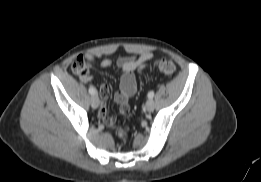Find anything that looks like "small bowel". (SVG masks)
Listing matches in <instances>:
<instances>
[{
	"label": "small bowel",
	"instance_id": "small-bowel-1",
	"mask_svg": "<svg viewBox=\"0 0 261 182\" xmlns=\"http://www.w3.org/2000/svg\"><path fill=\"white\" fill-rule=\"evenodd\" d=\"M153 58L154 53L146 51L138 56H122L116 59L115 64L122 72L119 90L114 95V100L119 105L120 114L124 115L129 112L128 101L136 92L137 81L134 72L142 73L148 67V62ZM85 59L91 66H96L101 69H106L113 65L111 59L98 61L93 54H86ZM99 92L101 105L98 115L103 123L110 125L115 120L113 116L109 115L105 106L110 94V89L107 85H102Z\"/></svg>",
	"mask_w": 261,
	"mask_h": 182
}]
</instances>
